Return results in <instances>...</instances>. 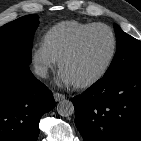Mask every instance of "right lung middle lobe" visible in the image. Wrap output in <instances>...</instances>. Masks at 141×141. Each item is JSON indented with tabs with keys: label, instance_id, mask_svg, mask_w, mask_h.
Segmentation results:
<instances>
[{
	"label": "right lung middle lobe",
	"instance_id": "dd1d6c3e",
	"mask_svg": "<svg viewBox=\"0 0 141 141\" xmlns=\"http://www.w3.org/2000/svg\"><path fill=\"white\" fill-rule=\"evenodd\" d=\"M39 21L27 15L0 27V66L29 65L32 41Z\"/></svg>",
	"mask_w": 141,
	"mask_h": 141
}]
</instances>
